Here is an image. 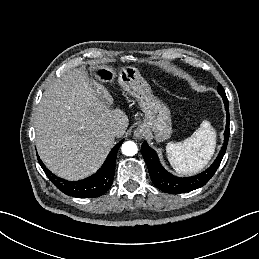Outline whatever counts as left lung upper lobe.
I'll return each mask as SVG.
<instances>
[{"instance_id": "1", "label": "left lung upper lobe", "mask_w": 259, "mask_h": 259, "mask_svg": "<svg viewBox=\"0 0 259 259\" xmlns=\"http://www.w3.org/2000/svg\"><path fill=\"white\" fill-rule=\"evenodd\" d=\"M218 93L220 94V95H222V94H225V91H224V89H223V87H222V85L221 84H218Z\"/></svg>"}]
</instances>
